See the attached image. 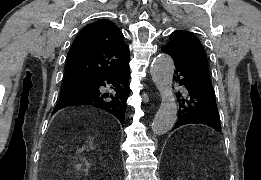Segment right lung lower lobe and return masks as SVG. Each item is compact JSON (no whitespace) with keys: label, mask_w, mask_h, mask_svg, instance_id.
<instances>
[{"label":"right lung lower lobe","mask_w":261,"mask_h":180,"mask_svg":"<svg viewBox=\"0 0 261 180\" xmlns=\"http://www.w3.org/2000/svg\"><path fill=\"white\" fill-rule=\"evenodd\" d=\"M129 68H125L98 76L94 81L90 91H81L59 98L53 112L76 104H87L105 109L113 114L121 124L124 123L127 108V98L129 88ZM106 82L114 85L113 93H103L99 88L106 86Z\"/></svg>","instance_id":"1"}]
</instances>
